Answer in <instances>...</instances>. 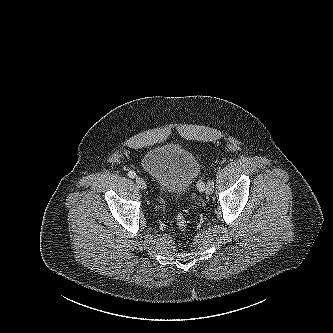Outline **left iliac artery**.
I'll return each mask as SVG.
<instances>
[{"mask_svg": "<svg viewBox=\"0 0 333 333\" xmlns=\"http://www.w3.org/2000/svg\"><path fill=\"white\" fill-rule=\"evenodd\" d=\"M214 184V183H213ZM197 188L199 191H204L205 190V184L200 180L197 184Z\"/></svg>", "mask_w": 333, "mask_h": 333, "instance_id": "obj_1", "label": "left iliac artery"}]
</instances>
